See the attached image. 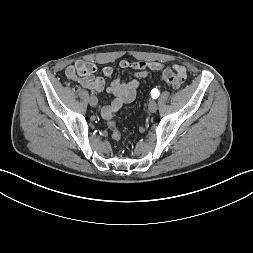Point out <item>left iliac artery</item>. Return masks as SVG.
I'll return each mask as SVG.
<instances>
[{
    "mask_svg": "<svg viewBox=\"0 0 253 253\" xmlns=\"http://www.w3.org/2000/svg\"><path fill=\"white\" fill-rule=\"evenodd\" d=\"M151 96H152L153 99L158 98V96H159V91H158L157 89H153V90L151 91Z\"/></svg>",
    "mask_w": 253,
    "mask_h": 253,
    "instance_id": "44dca946",
    "label": "left iliac artery"
}]
</instances>
